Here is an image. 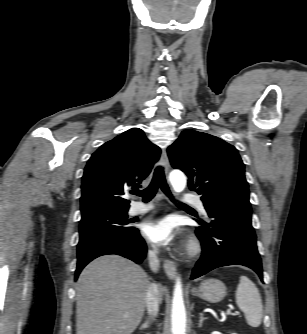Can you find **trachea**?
I'll return each mask as SVG.
<instances>
[{
    "instance_id": "3493384b",
    "label": "trachea",
    "mask_w": 307,
    "mask_h": 334,
    "mask_svg": "<svg viewBox=\"0 0 307 334\" xmlns=\"http://www.w3.org/2000/svg\"><path fill=\"white\" fill-rule=\"evenodd\" d=\"M161 188L162 191L173 200V196L168 188V185L166 183L165 180V176H164V171L163 168L158 166L155 169L154 175H153V179L150 183V185L144 189V190H136L133 191L132 193L137 195V196H141L143 198L144 202H149L156 194L158 188ZM184 205V204H182Z\"/></svg>"
}]
</instances>
